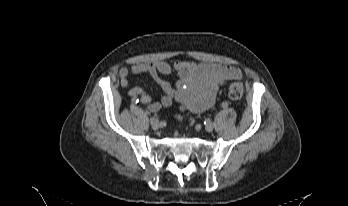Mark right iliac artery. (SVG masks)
Returning <instances> with one entry per match:
<instances>
[{"label":"right iliac artery","mask_w":348,"mask_h":206,"mask_svg":"<svg viewBox=\"0 0 348 206\" xmlns=\"http://www.w3.org/2000/svg\"><path fill=\"white\" fill-rule=\"evenodd\" d=\"M133 103H139V98L138 97H133Z\"/></svg>","instance_id":"1"}]
</instances>
